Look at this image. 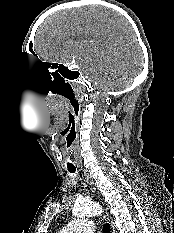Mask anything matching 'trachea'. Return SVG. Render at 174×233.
<instances>
[{
    "mask_svg": "<svg viewBox=\"0 0 174 233\" xmlns=\"http://www.w3.org/2000/svg\"><path fill=\"white\" fill-rule=\"evenodd\" d=\"M68 171H69L70 173H75L76 168H75V167H68ZM103 232H104V233H111V232H110V224H109V223H105V224L103 225Z\"/></svg>",
    "mask_w": 174,
    "mask_h": 233,
    "instance_id": "obj_1",
    "label": "trachea"
}]
</instances>
